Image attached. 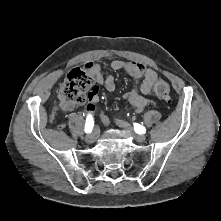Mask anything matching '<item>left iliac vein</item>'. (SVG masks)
Returning <instances> with one entry per match:
<instances>
[{"label":"left iliac vein","mask_w":221,"mask_h":221,"mask_svg":"<svg viewBox=\"0 0 221 221\" xmlns=\"http://www.w3.org/2000/svg\"><path fill=\"white\" fill-rule=\"evenodd\" d=\"M117 125L123 129L133 133V136L137 142L142 143L146 140V137L144 135L134 133V129L130 124L123 122V121H117Z\"/></svg>","instance_id":"left-iliac-vein-1"}]
</instances>
